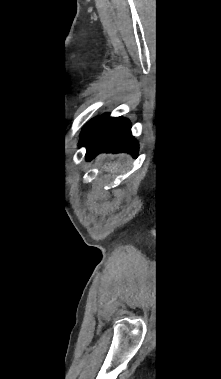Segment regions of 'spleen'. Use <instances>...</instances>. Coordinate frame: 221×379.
Listing matches in <instances>:
<instances>
[{
  "mask_svg": "<svg viewBox=\"0 0 221 379\" xmlns=\"http://www.w3.org/2000/svg\"><path fill=\"white\" fill-rule=\"evenodd\" d=\"M121 164L120 163H115V164H112V165H108V166H105L104 168L110 172H116L119 170Z\"/></svg>",
  "mask_w": 221,
  "mask_h": 379,
  "instance_id": "spleen-1",
  "label": "spleen"
}]
</instances>
